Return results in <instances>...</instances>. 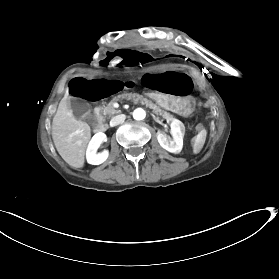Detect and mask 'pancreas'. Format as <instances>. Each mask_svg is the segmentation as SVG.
<instances>
[{
  "instance_id": "obj_1",
  "label": "pancreas",
  "mask_w": 279,
  "mask_h": 279,
  "mask_svg": "<svg viewBox=\"0 0 279 279\" xmlns=\"http://www.w3.org/2000/svg\"><path fill=\"white\" fill-rule=\"evenodd\" d=\"M120 99H134V102H137V104H142V106H146L148 108H151V111H154L155 114H160V118L165 120H170V115H167L165 113H161V109L158 108V106L155 105V103H151V101L142 99V95H137L135 93H126V94H120L114 98L111 99V101L103 105V113L104 115H114L118 113L119 111L114 108V103L118 102Z\"/></svg>"
}]
</instances>
